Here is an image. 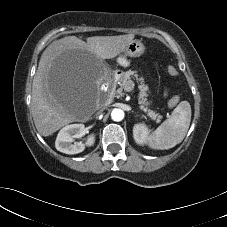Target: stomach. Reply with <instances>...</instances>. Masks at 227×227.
Segmentation results:
<instances>
[{"label":"stomach","instance_id":"0dacf381","mask_svg":"<svg viewBox=\"0 0 227 227\" xmlns=\"http://www.w3.org/2000/svg\"><path fill=\"white\" fill-rule=\"evenodd\" d=\"M145 50L144 44L141 40H133L131 41L123 51V55H121L117 61L118 63L123 66H129L130 62L127 57H138L140 56Z\"/></svg>","mask_w":227,"mask_h":227}]
</instances>
